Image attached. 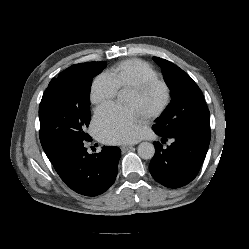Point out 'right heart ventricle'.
Masks as SVG:
<instances>
[{"instance_id":"obj_1","label":"right heart ventricle","mask_w":249,"mask_h":249,"mask_svg":"<svg viewBox=\"0 0 249 249\" xmlns=\"http://www.w3.org/2000/svg\"><path fill=\"white\" fill-rule=\"evenodd\" d=\"M108 74L120 89H129L144 80L158 78L157 72L149 64L138 59L125 60Z\"/></svg>"}]
</instances>
